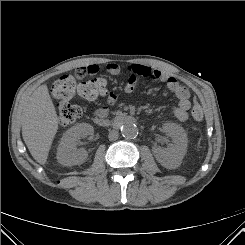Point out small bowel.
Here are the masks:
<instances>
[{
	"label": "small bowel",
	"mask_w": 245,
	"mask_h": 245,
	"mask_svg": "<svg viewBox=\"0 0 245 245\" xmlns=\"http://www.w3.org/2000/svg\"><path fill=\"white\" fill-rule=\"evenodd\" d=\"M98 71L99 66L97 64H89L79 67L76 70V76L81 79L86 75H95ZM106 71L112 76H119L122 73L121 67L116 63H108L106 65ZM127 71L129 76L124 85L125 93L130 94L134 92L142 77H151L154 80L161 81L166 84L167 88L178 99V104L173 109L175 117L181 122H186L189 119V110L191 108L190 91L187 87L180 84L177 79L164 71L143 64H131L127 67ZM119 98L118 92L111 91L107 96V102L109 105H114ZM108 113V108L102 107L95 111V117H106Z\"/></svg>",
	"instance_id": "obj_1"
}]
</instances>
